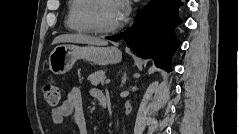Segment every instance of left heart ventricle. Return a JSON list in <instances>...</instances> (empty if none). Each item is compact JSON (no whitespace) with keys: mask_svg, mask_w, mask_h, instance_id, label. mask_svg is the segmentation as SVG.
<instances>
[{"mask_svg":"<svg viewBox=\"0 0 239 134\" xmlns=\"http://www.w3.org/2000/svg\"><path fill=\"white\" fill-rule=\"evenodd\" d=\"M96 20L102 27H112L119 23L115 12L114 1L103 0L98 4Z\"/></svg>","mask_w":239,"mask_h":134,"instance_id":"left-heart-ventricle-1","label":"left heart ventricle"}]
</instances>
